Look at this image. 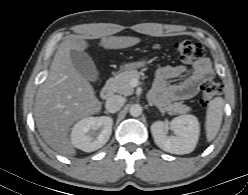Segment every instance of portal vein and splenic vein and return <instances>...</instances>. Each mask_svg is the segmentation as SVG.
Returning <instances> with one entry per match:
<instances>
[{"instance_id": "portal-vein-and-splenic-vein-1", "label": "portal vein and splenic vein", "mask_w": 248, "mask_h": 195, "mask_svg": "<svg viewBox=\"0 0 248 195\" xmlns=\"http://www.w3.org/2000/svg\"><path fill=\"white\" fill-rule=\"evenodd\" d=\"M137 83H138V81H137L136 79H133V80L131 81V85H132V86H136Z\"/></svg>"}]
</instances>
